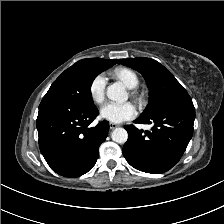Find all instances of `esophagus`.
<instances>
[{
	"instance_id": "obj_1",
	"label": "esophagus",
	"mask_w": 224,
	"mask_h": 224,
	"mask_svg": "<svg viewBox=\"0 0 224 224\" xmlns=\"http://www.w3.org/2000/svg\"><path fill=\"white\" fill-rule=\"evenodd\" d=\"M117 127H118L117 124H115V123H109V128H110L111 130H113V129L117 128Z\"/></svg>"
}]
</instances>
